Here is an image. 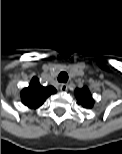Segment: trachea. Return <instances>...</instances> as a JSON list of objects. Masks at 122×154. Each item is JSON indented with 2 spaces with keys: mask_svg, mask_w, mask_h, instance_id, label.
Returning <instances> with one entry per match:
<instances>
[{
  "mask_svg": "<svg viewBox=\"0 0 122 154\" xmlns=\"http://www.w3.org/2000/svg\"><path fill=\"white\" fill-rule=\"evenodd\" d=\"M57 79L61 83H66L68 81V74L66 72H61Z\"/></svg>",
  "mask_w": 122,
  "mask_h": 154,
  "instance_id": "obj_1",
  "label": "trachea"
}]
</instances>
